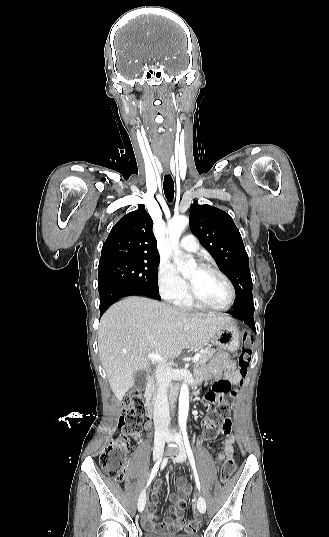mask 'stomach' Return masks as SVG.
Returning <instances> with one entry per match:
<instances>
[{"mask_svg":"<svg viewBox=\"0 0 329 537\" xmlns=\"http://www.w3.org/2000/svg\"><path fill=\"white\" fill-rule=\"evenodd\" d=\"M213 343L230 352L236 351L240 343V332L236 324L232 322L223 327L213 337Z\"/></svg>","mask_w":329,"mask_h":537,"instance_id":"obj_1","label":"stomach"}]
</instances>
